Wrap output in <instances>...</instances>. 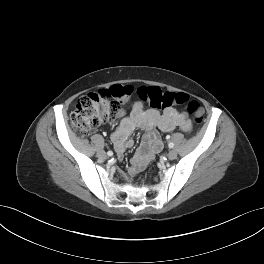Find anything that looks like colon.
I'll list each match as a JSON object with an SVG mask.
<instances>
[{"instance_id": "1", "label": "colon", "mask_w": 264, "mask_h": 264, "mask_svg": "<svg viewBox=\"0 0 264 264\" xmlns=\"http://www.w3.org/2000/svg\"><path fill=\"white\" fill-rule=\"evenodd\" d=\"M133 92L134 89L129 85H115L108 90L83 95L71 115L72 128L83 136L91 134L99 126L113 120L120 112V105L128 100ZM136 93L142 102L154 109L180 106L188 100L185 93L169 92L156 86H140ZM187 112L195 123L202 122L205 111L198 101H190Z\"/></svg>"}]
</instances>
